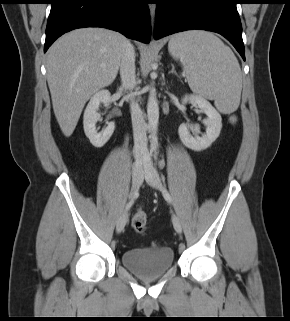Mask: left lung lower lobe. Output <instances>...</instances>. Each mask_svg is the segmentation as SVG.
Here are the masks:
<instances>
[{
    "label": "left lung lower lobe",
    "mask_w": 290,
    "mask_h": 321,
    "mask_svg": "<svg viewBox=\"0 0 290 321\" xmlns=\"http://www.w3.org/2000/svg\"><path fill=\"white\" fill-rule=\"evenodd\" d=\"M238 3L239 0H156L154 38L193 29L212 31L229 40L245 60Z\"/></svg>",
    "instance_id": "0a47b994"
}]
</instances>
